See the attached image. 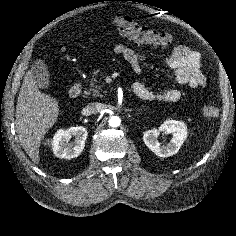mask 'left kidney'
I'll use <instances>...</instances> for the list:
<instances>
[{"label":"left kidney","mask_w":236,"mask_h":236,"mask_svg":"<svg viewBox=\"0 0 236 236\" xmlns=\"http://www.w3.org/2000/svg\"><path fill=\"white\" fill-rule=\"evenodd\" d=\"M160 132L172 134V139L167 145H161L157 138ZM187 138V126L182 121L166 120L159 129L145 131L143 140L145 145L157 156L169 157L176 154Z\"/></svg>","instance_id":"1"}]
</instances>
